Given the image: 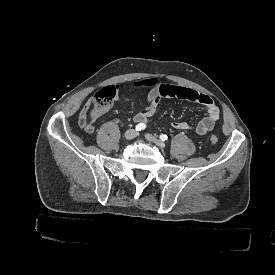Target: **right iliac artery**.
Listing matches in <instances>:
<instances>
[{
	"instance_id": "right-iliac-artery-1",
	"label": "right iliac artery",
	"mask_w": 275,
	"mask_h": 275,
	"mask_svg": "<svg viewBox=\"0 0 275 275\" xmlns=\"http://www.w3.org/2000/svg\"><path fill=\"white\" fill-rule=\"evenodd\" d=\"M146 128V125L144 123H139L137 126H136V130L137 131H141V130H144Z\"/></svg>"
}]
</instances>
